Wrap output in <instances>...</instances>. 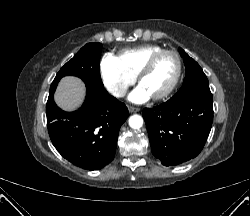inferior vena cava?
<instances>
[{"label":"inferior vena cava","mask_w":250,"mask_h":216,"mask_svg":"<svg viewBox=\"0 0 250 216\" xmlns=\"http://www.w3.org/2000/svg\"><path fill=\"white\" fill-rule=\"evenodd\" d=\"M127 92V89L121 87H112L110 93L115 97H123Z\"/></svg>","instance_id":"1"}]
</instances>
